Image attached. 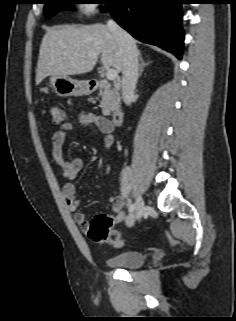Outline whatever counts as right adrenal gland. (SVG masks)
Wrapping results in <instances>:
<instances>
[{"mask_svg": "<svg viewBox=\"0 0 236 321\" xmlns=\"http://www.w3.org/2000/svg\"><path fill=\"white\" fill-rule=\"evenodd\" d=\"M139 61H140V65H139V74H138V77H141V75H142V73H143V70H144V67L147 66V65H149V64L152 63V62H151V61L144 62L141 53H139Z\"/></svg>", "mask_w": 236, "mask_h": 321, "instance_id": "2a0ac1e0", "label": "right adrenal gland"}]
</instances>
